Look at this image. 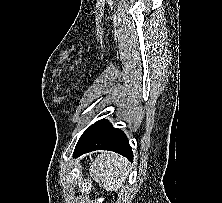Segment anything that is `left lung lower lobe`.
I'll use <instances>...</instances> for the list:
<instances>
[{
  "label": "left lung lower lobe",
  "mask_w": 222,
  "mask_h": 203,
  "mask_svg": "<svg viewBox=\"0 0 222 203\" xmlns=\"http://www.w3.org/2000/svg\"><path fill=\"white\" fill-rule=\"evenodd\" d=\"M95 150H110L132 161L133 153L124 132L114 128L107 120L92 124L82 134L74 150V157Z\"/></svg>",
  "instance_id": "obj_1"
}]
</instances>
